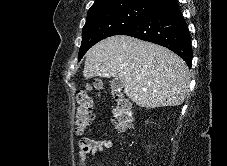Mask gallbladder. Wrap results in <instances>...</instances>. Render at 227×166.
Here are the masks:
<instances>
[{"label": "gallbladder", "instance_id": "gallbladder-1", "mask_svg": "<svg viewBox=\"0 0 227 166\" xmlns=\"http://www.w3.org/2000/svg\"><path fill=\"white\" fill-rule=\"evenodd\" d=\"M110 87L112 93H117L120 92L123 88V83L121 82L120 79L114 78L110 81Z\"/></svg>", "mask_w": 227, "mask_h": 166}]
</instances>
